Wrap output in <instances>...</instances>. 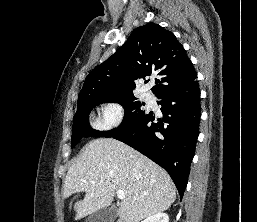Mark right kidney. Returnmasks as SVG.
<instances>
[{
	"mask_svg": "<svg viewBox=\"0 0 257 222\" xmlns=\"http://www.w3.org/2000/svg\"><path fill=\"white\" fill-rule=\"evenodd\" d=\"M142 222H169V217L166 213H156L150 217H147Z\"/></svg>",
	"mask_w": 257,
	"mask_h": 222,
	"instance_id": "1",
	"label": "right kidney"
}]
</instances>
